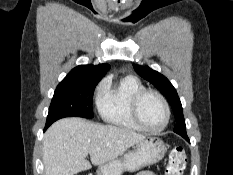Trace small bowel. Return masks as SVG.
<instances>
[{
    "mask_svg": "<svg viewBox=\"0 0 233 175\" xmlns=\"http://www.w3.org/2000/svg\"><path fill=\"white\" fill-rule=\"evenodd\" d=\"M135 175H155V174L153 172H150V171H141Z\"/></svg>",
    "mask_w": 233,
    "mask_h": 175,
    "instance_id": "small-bowel-1",
    "label": "small bowel"
}]
</instances>
